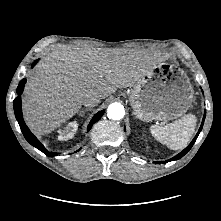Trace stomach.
<instances>
[{"instance_id": "obj_1", "label": "stomach", "mask_w": 221, "mask_h": 221, "mask_svg": "<svg viewBox=\"0 0 221 221\" xmlns=\"http://www.w3.org/2000/svg\"><path fill=\"white\" fill-rule=\"evenodd\" d=\"M161 64L146 73L132 88L129 101L142 121H168L181 117L191 106L193 88L182 71Z\"/></svg>"}]
</instances>
